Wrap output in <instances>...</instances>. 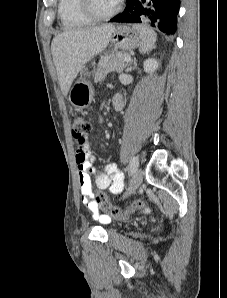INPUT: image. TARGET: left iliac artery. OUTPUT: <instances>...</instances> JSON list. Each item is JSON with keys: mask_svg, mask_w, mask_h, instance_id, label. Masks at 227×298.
I'll list each match as a JSON object with an SVG mask.
<instances>
[{"mask_svg": "<svg viewBox=\"0 0 227 298\" xmlns=\"http://www.w3.org/2000/svg\"><path fill=\"white\" fill-rule=\"evenodd\" d=\"M138 167V158L137 157H132L129 163V170L134 171Z\"/></svg>", "mask_w": 227, "mask_h": 298, "instance_id": "obj_1", "label": "left iliac artery"}]
</instances>
